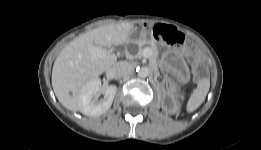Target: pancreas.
<instances>
[{"instance_id": "cf45deb5", "label": "pancreas", "mask_w": 261, "mask_h": 150, "mask_svg": "<svg viewBox=\"0 0 261 150\" xmlns=\"http://www.w3.org/2000/svg\"><path fill=\"white\" fill-rule=\"evenodd\" d=\"M149 44H150L149 41H145V40L139 41L138 42V46H139L141 52H143V47L145 45H149ZM150 46H151V49H149V53L146 55V57L149 59V63L152 66V68L155 71H157V59H156V55L154 53V50H155L156 46H155L154 43H151ZM146 47H148V46H146ZM140 56H141V53L140 54H136L134 56V58H139Z\"/></svg>"}]
</instances>
